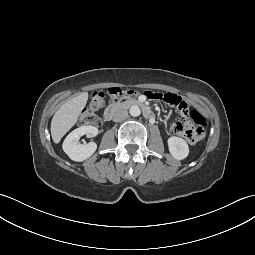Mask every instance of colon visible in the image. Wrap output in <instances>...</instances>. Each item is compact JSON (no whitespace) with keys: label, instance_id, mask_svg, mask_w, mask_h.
<instances>
[{"label":"colon","instance_id":"obj_1","mask_svg":"<svg viewBox=\"0 0 255 255\" xmlns=\"http://www.w3.org/2000/svg\"><path fill=\"white\" fill-rule=\"evenodd\" d=\"M135 94L134 90L123 89L120 87H111L107 91V95L110 99L118 101L126 96ZM145 95L154 100H162L163 102L178 106L180 105V99L170 93H156L153 91H146ZM105 93L102 91H95L93 93L89 106L82 112L79 123L83 126H94L100 123V118L96 112L102 108L105 102ZM183 116V122L177 126L175 132L184 137L190 144L199 142L204 136L203 127L206 125L205 117L197 111L184 110L181 112Z\"/></svg>","mask_w":255,"mask_h":255}]
</instances>
